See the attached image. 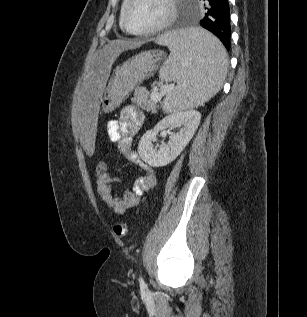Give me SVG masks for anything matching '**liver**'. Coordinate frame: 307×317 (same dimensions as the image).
Wrapping results in <instances>:
<instances>
[{
  "mask_svg": "<svg viewBox=\"0 0 307 317\" xmlns=\"http://www.w3.org/2000/svg\"><path fill=\"white\" fill-rule=\"evenodd\" d=\"M142 43L116 40L105 45L93 61L87 65L81 92L75 105L73 124L81 134V153L95 154L98 137L92 135L97 127L98 108L103 102L102 94L107 78H111L110 68L115 59L125 50L135 49ZM88 104V105H87Z\"/></svg>",
  "mask_w": 307,
  "mask_h": 317,
  "instance_id": "1",
  "label": "liver"
}]
</instances>
